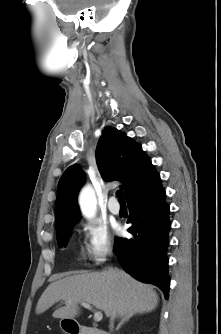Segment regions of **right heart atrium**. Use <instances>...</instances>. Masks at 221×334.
<instances>
[{
    "label": "right heart atrium",
    "instance_id": "d8ad5b80",
    "mask_svg": "<svg viewBox=\"0 0 221 334\" xmlns=\"http://www.w3.org/2000/svg\"><path fill=\"white\" fill-rule=\"evenodd\" d=\"M83 245L89 260L103 263L113 251V241L105 224L98 220H88L82 224Z\"/></svg>",
    "mask_w": 221,
    "mask_h": 334
}]
</instances>
